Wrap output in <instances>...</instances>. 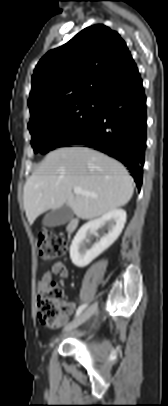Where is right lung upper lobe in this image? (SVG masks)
<instances>
[{"label":"right lung upper lobe","instance_id":"cb5924a9","mask_svg":"<svg viewBox=\"0 0 168 406\" xmlns=\"http://www.w3.org/2000/svg\"><path fill=\"white\" fill-rule=\"evenodd\" d=\"M138 70L120 35L103 24L83 29L46 53L32 76L29 123L53 115L134 78Z\"/></svg>","mask_w":168,"mask_h":406}]
</instances>
